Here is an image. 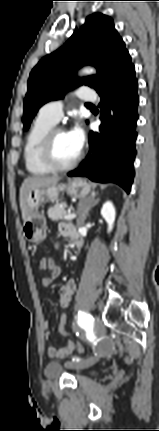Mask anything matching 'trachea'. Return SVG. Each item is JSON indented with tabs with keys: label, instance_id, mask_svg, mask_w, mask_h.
<instances>
[{
	"label": "trachea",
	"instance_id": "trachea-1",
	"mask_svg": "<svg viewBox=\"0 0 159 431\" xmlns=\"http://www.w3.org/2000/svg\"><path fill=\"white\" fill-rule=\"evenodd\" d=\"M87 105H88V106H90L91 104H90V103H87Z\"/></svg>",
	"mask_w": 159,
	"mask_h": 431
}]
</instances>
